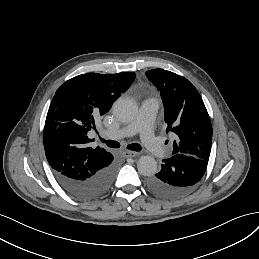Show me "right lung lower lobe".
<instances>
[{"label":"right lung lower lobe","instance_id":"1","mask_svg":"<svg viewBox=\"0 0 259 259\" xmlns=\"http://www.w3.org/2000/svg\"><path fill=\"white\" fill-rule=\"evenodd\" d=\"M112 159L102 168L85 178H75L63 175L53 170V174L60 186L71 196L79 200H94L108 192L110 189L115 166Z\"/></svg>","mask_w":259,"mask_h":259}]
</instances>
